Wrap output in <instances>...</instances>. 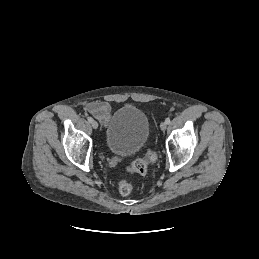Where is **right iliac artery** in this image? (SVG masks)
Segmentation results:
<instances>
[{"label":"right iliac artery","instance_id":"82829eb1","mask_svg":"<svg viewBox=\"0 0 259 259\" xmlns=\"http://www.w3.org/2000/svg\"><path fill=\"white\" fill-rule=\"evenodd\" d=\"M87 120H88V122H90V123L93 121V119H92L91 117H88Z\"/></svg>","mask_w":259,"mask_h":259}]
</instances>
